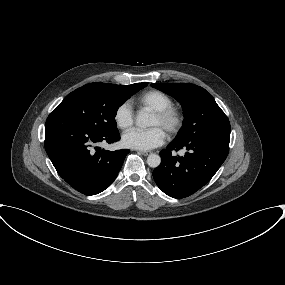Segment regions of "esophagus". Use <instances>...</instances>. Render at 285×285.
<instances>
[{"label": "esophagus", "instance_id": "1", "mask_svg": "<svg viewBox=\"0 0 285 285\" xmlns=\"http://www.w3.org/2000/svg\"><path fill=\"white\" fill-rule=\"evenodd\" d=\"M139 154L144 155V156H148L150 155L152 152L150 151H138Z\"/></svg>", "mask_w": 285, "mask_h": 285}]
</instances>
